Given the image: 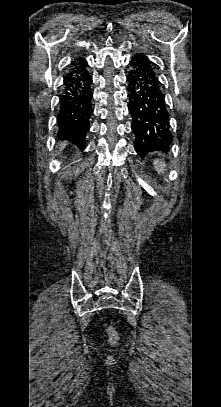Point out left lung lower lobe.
Returning a JSON list of instances; mask_svg holds the SVG:
<instances>
[{
  "mask_svg": "<svg viewBox=\"0 0 221 407\" xmlns=\"http://www.w3.org/2000/svg\"><path fill=\"white\" fill-rule=\"evenodd\" d=\"M127 79L136 152L142 157L155 150L166 152L172 141L169 113L158 75L147 56L132 58Z\"/></svg>",
  "mask_w": 221,
  "mask_h": 407,
  "instance_id": "1",
  "label": "left lung lower lobe"
}]
</instances>
